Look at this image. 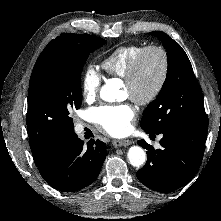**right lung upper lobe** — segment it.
<instances>
[{
  "instance_id": "obj_1",
  "label": "right lung upper lobe",
  "mask_w": 221,
  "mask_h": 221,
  "mask_svg": "<svg viewBox=\"0 0 221 221\" xmlns=\"http://www.w3.org/2000/svg\"><path fill=\"white\" fill-rule=\"evenodd\" d=\"M72 35L75 34H62L61 36L52 40L48 44V46L65 44L70 41ZM27 130L30 141V148L36 164L41 163L46 158V154L52 149V147L58 141L62 140L64 137L69 135V134H55V135L46 136L40 133L39 131L32 130L30 127L29 128L27 127Z\"/></svg>"
}]
</instances>
